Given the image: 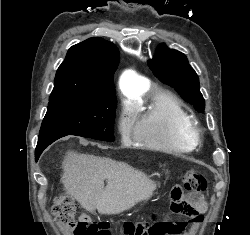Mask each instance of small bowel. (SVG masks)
<instances>
[{
    "label": "small bowel",
    "mask_w": 250,
    "mask_h": 235,
    "mask_svg": "<svg viewBox=\"0 0 250 235\" xmlns=\"http://www.w3.org/2000/svg\"><path fill=\"white\" fill-rule=\"evenodd\" d=\"M183 210L174 212L182 219L175 221H161L159 222L165 235H190V231L186 230L188 222L191 224H198L201 222V216L206 211V205L201 200L198 203L182 202ZM85 218V215H82ZM136 228H131L128 235H140L135 231Z\"/></svg>",
    "instance_id": "obj_1"
}]
</instances>
